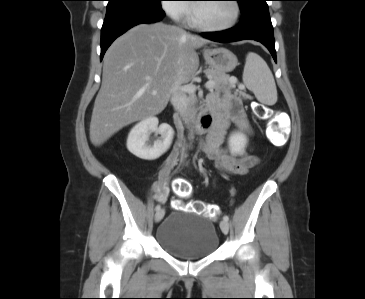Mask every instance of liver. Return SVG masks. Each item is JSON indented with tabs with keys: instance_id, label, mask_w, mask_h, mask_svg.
<instances>
[{
	"instance_id": "1",
	"label": "liver",
	"mask_w": 365,
	"mask_h": 299,
	"mask_svg": "<svg viewBox=\"0 0 365 299\" xmlns=\"http://www.w3.org/2000/svg\"><path fill=\"white\" fill-rule=\"evenodd\" d=\"M208 42L163 23L141 24L117 38L103 60L90 123L92 144L99 146L123 127L162 112L175 82L181 86L195 76V49Z\"/></svg>"
}]
</instances>
